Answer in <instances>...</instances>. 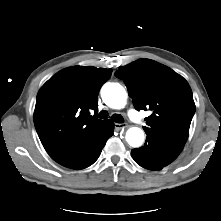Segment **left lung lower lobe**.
<instances>
[{
  "label": "left lung lower lobe",
  "instance_id": "0a47b994",
  "mask_svg": "<svg viewBox=\"0 0 221 221\" xmlns=\"http://www.w3.org/2000/svg\"><path fill=\"white\" fill-rule=\"evenodd\" d=\"M179 153L161 142L150 139H146L144 146L131 151L136 163L149 170L162 169L174 161Z\"/></svg>",
  "mask_w": 221,
  "mask_h": 221
}]
</instances>
